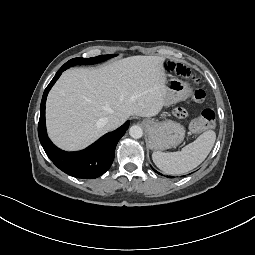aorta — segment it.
Returning a JSON list of instances; mask_svg holds the SVG:
<instances>
[{
    "instance_id": "aorta-1",
    "label": "aorta",
    "mask_w": 255,
    "mask_h": 255,
    "mask_svg": "<svg viewBox=\"0 0 255 255\" xmlns=\"http://www.w3.org/2000/svg\"><path fill=\"white\" fill-rule=\"evenodd\" d=\"M129 134L134 139H139L143 135V130L138 125H133L129 128Z\"/></svg>"
}]
</instances>
